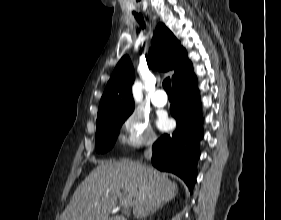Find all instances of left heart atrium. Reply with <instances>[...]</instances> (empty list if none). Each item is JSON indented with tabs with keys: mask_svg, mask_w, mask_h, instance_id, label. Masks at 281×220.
Wrapping results in <instances>:
<instances>
[{
	"mask_svg": "<svg viewBox=\"0 0 281 220\" xmlns=\"http://www.w3.org/2000/svg\"><path fill=\"white\" fill-rule=\"evenodd\" d=\"M158 126L162 130H168L171 127V122L165 114H162L158 119Z\"/></svg>",
	"mask_w": 281,
	"mask_h": 220,
	"instance_id": "39dd6f15",
	"label": "left heart atrium"
}]
</instances>
